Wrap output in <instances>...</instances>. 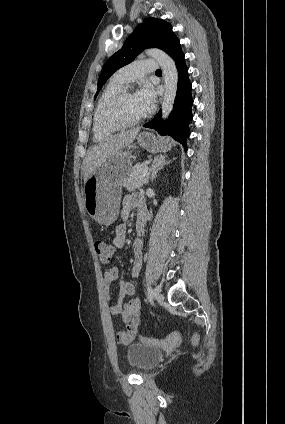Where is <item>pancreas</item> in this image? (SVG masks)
I'll use <instances>...</instances> for the list:
<instances>
[{
	"mask_svg": "<svg viewBox=\"0 0 285 424\" xmlns=\"http://www.w3.org/2000/svg\"><path fill=\"white\" fill-rule=\"evenodd\" d=\"M144 168L143 164L134 166L128 178L124 181L123 187L126 188L129 192L139 189L148 182L149 173L145 177H141L142 169Z\"/></svg>",
	"mask_w": 285,
	"mask_h": 424,
	"instance_id": "cf45deb5",
	"label": "pancreas"
}]
</instances>
